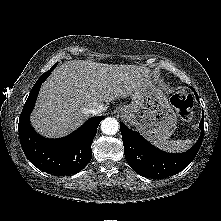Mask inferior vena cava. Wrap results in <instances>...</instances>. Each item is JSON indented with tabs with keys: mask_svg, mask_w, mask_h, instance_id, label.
I'll return each mask as SVG.
<instances>
[{
	"mask_svg": "<svg viewBox=\"0 0 221 221\" xmlns=\"http://www.w3.org/2000/svg\"><path fill=\"white\" fill-rule=\"evenodd\" d=\"M104 108L102 105H92L90 108L86 109L87 113L92 115H97L103 112Z\"/></svg>",
	"mask_w": 221,
	"mask_h": 221,
	"instance_id": "602c4592",
	"label": "inferior vena cava"
}]
</instances>
